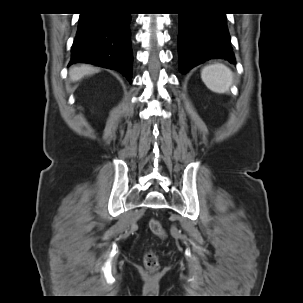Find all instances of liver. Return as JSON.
Returning <instances> with one entry per match:
<instances>
[{"mask_svg": "<svg viewBox=\"0 0 303 303\" xmlns=\"http://www.w3.org/2000/svg\"><path fill=\"white\" fill-rule=\"evenodd\" d=\"M99 71V69L90 66V65H81L79 67H72L69 71V76L71 81L76 82L82 79L86 75H91L95 72Z\"/></svg>", "mask_w": 303, "mask_h": 303, "instance_id": "obj_1", "label": "liver"}]
</instances>
